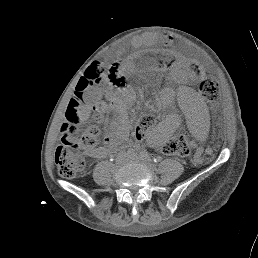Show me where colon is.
<instances>
[{"instance_id":"colon-1","label":"colon","mask_w":258,"mask_h":258,"mask_svg":"<svg viewBox=\"0 0 258 258\" xmlns=\"http://www.w3.org/2000/svg\"><path fill=\"white\" fill-rule=\"evenodd\" d=\"M118 65L113 64L109 69V78L116 86L124 85V77L118 72ZM104 66L101 63H93L86 70L77 86V95L69 103L66 111V124L61 128L62 142L55 151V163L59 174L64 178H73L85 167V157L89 150L100 144V132L96 127H85L82 122V95L99 83L104 74ZM202 96L212 105L219 102V84L215 77L204 76L199 84ZM155 125V118L150 115H142L136 121L135 132L141 135L147 134ZM109 144L117 145L122 138L119 133L109 135ZM165 153L176 156H187L190 153L187 139L177 135L169 139L164 147Z\"/></svg>"}]
</instances>
